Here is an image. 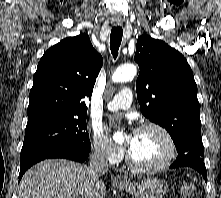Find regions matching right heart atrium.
<instances>
[{
	"label": "right heart atrium",
	"instance_id": "d8ad5b80",
	"mask_svg": "<svg viewBox=\"0 0 221 198\" xmlns=\"http://www.w3.org/2000/svg\"><path fill=\"white\" fill-rule=\"evenodd\" d=\"M94 156L109 164L117 163L121 158V151L99 132H94L91 141Z\"/></svg>",
	"mask_w": 221,
	"mask_h": 198
}]
</instances>
